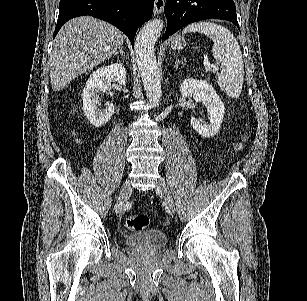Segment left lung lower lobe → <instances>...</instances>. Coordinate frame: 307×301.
Here are the masks:
<instances>
[{
    "label": "left lung lower lobe",
    "mask_w": 307,
    "mask_h": 301,
    "mask_svg": "<svg viewBox=\"0 0 307 301\" xmlns=\"http://www.w3.org/2000/svg\"><path fill=\"white\" fill-rule=\"evenodd\" d=\"M167 29L163 39L182 27L205 19H222L238 28L236 7L233 0H166Z\"/></svg>",
    "instance_id": "0a47b994"
}]
</instances>
